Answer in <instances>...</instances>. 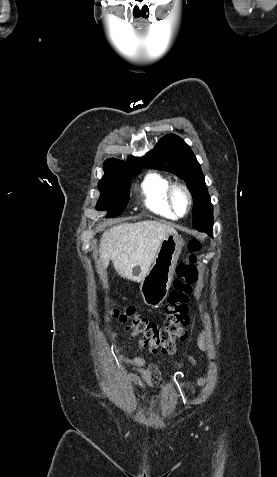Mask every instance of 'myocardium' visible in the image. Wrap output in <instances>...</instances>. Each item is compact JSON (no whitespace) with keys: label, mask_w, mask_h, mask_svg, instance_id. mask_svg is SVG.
Segmentation results:
<instances>
[{"label":"myocardium","mask_w":277,"mask_h":477,"mask_svg":"<svg viewBox=\"0 0 277 477\" xmlns=\"http://www.w3.org/2000/svg\"><path fill=\"white\" fill-rule=\"evenodd\" d=\"M177 190H181L187 198V209L184 213H179L177 211L175 203H174V194ZM166 197H167V202H168V205H169L170 209L172 210V212L177 217H184L191 211L192 205H193V198H192V194H191V192H190V190H189V188L186 184H184L182 182H175V183L170 184L168 189H167Z\"/></svg>","instance_id":"obj_1"}]
</instances>
